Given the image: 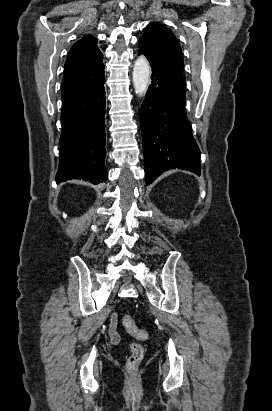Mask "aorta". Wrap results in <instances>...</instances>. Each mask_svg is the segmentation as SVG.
Returning a JSON list of instances; mask_svg holds the SVG:
<instances>
[{
    "label": "aorta",
    "instance_id": "obj_1",
    "mask_svg": "<svg viewBox=\"0 0 272 411\" xmlns=\"http://www.w3.org/2000/svg\"><path fill=\"white\" fill-rule=\"evenodd\" d=\"M150 65L144 56H140L134 63L132 78L136 94L144 96L148 89Z\"/></svg>",
    "mask_w": 272,
    "mask_h": 411
}]
</instances>
